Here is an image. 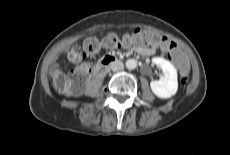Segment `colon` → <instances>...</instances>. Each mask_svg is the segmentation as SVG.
<instances>
[{"label": "colon", "mask_w": 230, "mask_h": 155, "mask_svg": "<svg viewBox=\"0 0 230 155\" xmlns=\"http://www.w3.org/2000/svg\"><path fill=\"white\" fill-rule=\"evenodd\" d=\"M138 45L144 47L160 46L163 48L174 63L178 66V75L180 81L186 83L190 79V74L185 66V59L176 43L170 41L164 36L145 30H135L127 33L120 38L115 33H109L104 38L88 37L84 40L82 48L73 47L68 53L70 61L77 64L76 70L67 77L58 64L51 66L50 75L56 90L66 94H72L82 90L87 83V76L90 72V66L82 63L83 56H95L103 48L117 49L120 46Z\"/></svg>", "instance_id": "1"}]
</instances>
